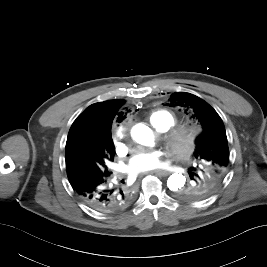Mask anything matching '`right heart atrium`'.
Masks as SVG:
<instances>
[{
  "instance_id": "d8ad5b80",
  "label": "right heart atrium",
  "mask_w": 267,
  "mask_h": 267,
  "mask_svg": "<svg viewBox=\"0 0 267 267\" xmlns=\"http://www.w3.org/2000/svg\"><path fill=\"white\" fill-rule=\"evenodd\" d=\"M127 131V128L122 126L119 128V132L122 133V134H125ZM121 147V144L120 143H117V148L119 149Z\"/></svg>"
}]
</instances>
